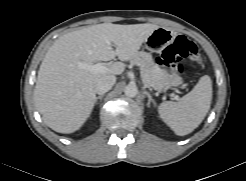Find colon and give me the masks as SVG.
Returning <instances> with one entry per match:
<instances>
[{
  "instance_id": "1",
  "label": "colon",
  "mask_w": 246,
  "mask_h": 181,
  "mask_svg": "<svg viewBox=\"0 0 246 181\" xmlns=\"http://www.w3.org/2000/svg\"><path fill=\"white\" fill-rule=\"evenodd\" d=\"M183 59H189L197 64L202 62L197 46L186 37L180 35L163 50L160 61L168 66L172 72L181 75L185 72V68L181 64Z\"/></svg>"
}]
</instances>
